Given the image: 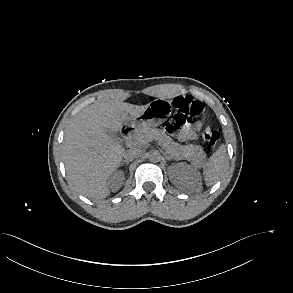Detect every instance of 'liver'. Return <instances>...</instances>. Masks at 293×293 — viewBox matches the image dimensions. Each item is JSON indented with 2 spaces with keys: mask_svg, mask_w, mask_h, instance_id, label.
Wrapping results in <instances>:
<instances>
[{
  "mask_svg": "<svg viewBox=\"0 0 293 293\" xmlns=\"http://www.w3.org/2000/svg\"><path fill=\"white\" fill-rule=\"evenodd\" d=\"M146 106L120 100L95 102L73 118L62 152L68 182L77 192L94 200L109 195L107 180L120 166L125 149L106 129L121 130L126 120L140 115Z\"/></svg>",
  "mask_w": 293,
  "mask_h": 293,
  "instance_id": "obj_1",
  "label": "liver"
}]
</instances>
